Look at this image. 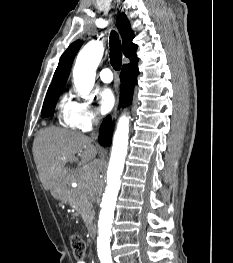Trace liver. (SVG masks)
<instances>
[{"label": "liver", "mask_w": 233, "mask_h": 263, "mask_svg": "<svg viewBox=\"0 0 233 263\" xmlns=\"http://www.w3.org/2000/svg\"><path fill=\"white\" fill-rule=\"evenodd\" d=\"M75 154H81L79 166H84L94 160L97 149L84 134L56 127L38 132L33 143V156L45 190H51L56 181L65 175V164L73 161Z\"/></svg>", "instance_id": "1"}]
</instances>
